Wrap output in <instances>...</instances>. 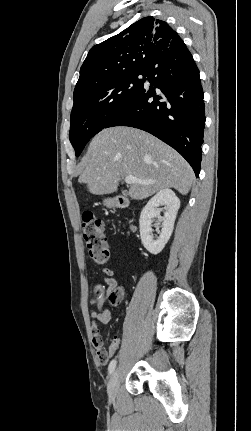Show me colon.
Returning <instances> with one entry per match:
<instances>
[{
    "label": "colon",
    "instance_id": "colon-1",
    "mask_svg": "<svg viewBox=\"0 0 251 431\" xmlns=\"http://www.w3.org/2000/svg\"><path fill=\"white\" fill-rule=\"evenodd\" d=\"M82 235L86 243L89 257L98 265H103L108 261L109 250L105 236V225L102 220L96 218L92 213L88 212L83 215L82 220ZM94 293L97 297L102 296L103 289L101 286H96ZM121 292H113L109 295V302L112 304L119 303ZM120 345V338L114 337L108 346V357L114 358L117 354Z\"/></svg>",
    "mask_w": 251,
    "mask_h": 431
}]
</instances>
